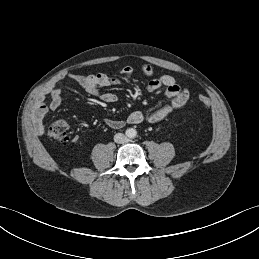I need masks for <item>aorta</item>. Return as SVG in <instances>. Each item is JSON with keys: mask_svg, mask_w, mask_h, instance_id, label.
Here are the masks:
<instances>
[{"mask_svg": "<svg viewBox=\"0 0 259 259\" xmlns=\"http://www.w3.org/2000/svg\"><path fill=\"white\" fill-rule=\"evenodd\" d=\"M137 134V131L134 128H129L126 130V135L128 138H134Z\"/></svg>", "mask_w": 259, "mask_h": 259, "instance_id": "1", "label": "aorta"}]
</instances>
